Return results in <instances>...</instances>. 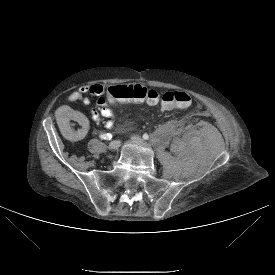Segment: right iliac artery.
Segmentation results:
<instances>
[{
	"label": "right iliac artery",
	"instance_id": "right-iliac-artery-1",
	"mask_svg": "<svg viewBox=\"0 0 275 275\" xmlns=\"http://www.w3.org/2000/svg\"><path fill=\"white\" fill-rule=\"evenodd\" d=\"M100 138L104 139V140H110L112 138V134H110V133L101 134Z\"/></svg>",
	"mask_w": 275,
	"mask_h": 275
}]
</instances>
